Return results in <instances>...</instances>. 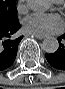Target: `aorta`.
<instances>
[{
    "mask_svg": "<svg viewBox=\"0 0 65 89\" xmlns=\"http://www.w3.org/2000/svg\"><path fill=\"white\" fill-rule=\"evenodd\" d=\"M51 3L48 0H31L30 8L36 12H46L50 9ZM59 43L55 37H47L43 40L42 49L46 53H54L58 50Z\"/></svg>",
    "mask_w": 65,
    "mask_h": 89,
    "instance_id": "762f6f07",
    "label": "aorta"
}]
</instances>
